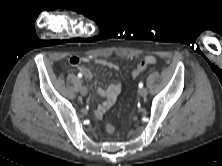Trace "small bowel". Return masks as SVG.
<instances>
[{
    "instance_id": "c3829d8e",
    "label": "small bowel",
    "mask_w": 222,
    "mask_h": 166,
    "mask_svg": "<svg viewBox=\"0 0 222 166\" xmlns=\"http://www.w3.org/2000/svg\"><path fill=\"white\" fill-rule=\"evenodd\" d=\"M88 61L89 58L80 57V56H72L69 59V63L72 66L78 68L79 71L83 74V76L86 79L90 80L93 78L92 72L87 67L81 66L82 63H86ZM145 61L149 64H152L156 61V59L153 56H147L145 57ZM95 62L98 65L108 67L109 69L112 70L119 69V66L116 63L107 61L105 59H96ZM121 88H122L121 83L111 84L107 88H98L99 95L105 98V100L102 103H100L96 108L95 114L98 118H101L106 113V111L115 103L117 96L121 91Z\"/></svg>"
}]
</instances>
